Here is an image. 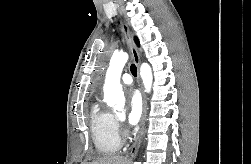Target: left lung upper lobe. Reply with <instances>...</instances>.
Returning a JSON list of instances; mask_svg holds the SVG:
<instances>
[{
    "label": "left lung upper lobe",
    "mask_w": 251,
    "mask_h": 164,
    "mask_svg": "<svg viewBox=\"0 0 251 164\" xmlns=\"http://www.w3.org/2000/svg\"><path fill=\"white\" fill-rule=\"evenodd\" d=\"M135 41H136L137 45H139V41H138V39H135Z\"/></svg>",
    "instance_id": "5c2ea615"
}]
</instances>
